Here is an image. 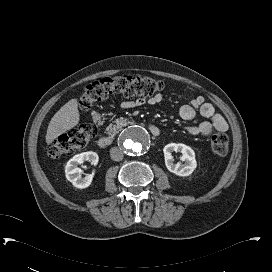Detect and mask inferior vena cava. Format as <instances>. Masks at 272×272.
I'll use <instances>...</instances> for the list:
<instances>
[{
  "mask_svg": "<svg viewBox=\"0 0 272 272\" xmlns=\"http://www.w3.org/2000/svg\"><path fill=\"white\" fill-rule=\"evenodd\" d=\"M110 157L114 161H121L123 159V152L119 148L113 147L110 149Z\"/></svg>",
  "mask_w": 272,
  "mask_h": 272,
  "instance_id": "obj_1",
  "label": "inferior vena cava"
}]
</instances>
